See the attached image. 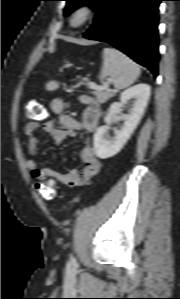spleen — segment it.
Segmentation results:
<instances>
[{"label":"spleen","instance_id":"3e777b00","mask_svg":"<svg viewBox=\"0 0 180 299\" xmlns=\"http://www.w3.org/2000/svg\"><path fill=\"white\" fill-rule=\"evenodd\" d=\"M103 65L99 79L104 81L109 78L116 89H125L132 85L140 75V67L137 63L115 48H104ZM52 89L58 87V83L49 85Z\"/></svg>","mask_w":180,"mask_h":299}]
</instances>
